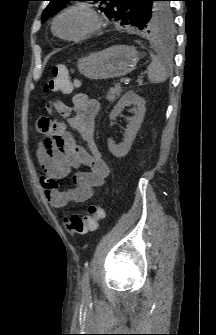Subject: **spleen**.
Instances as JSON below:
<instances>
[{
	"instance_id": "1",
	"label": "spleen",
	"mask_w": 216,
	"mask_h": 335,
	"mask_svg": "<svg viewBox=\"0 0 216 335\" xmlns=\"http://www.w3.org/2000/svg\"><path fill=\"white\" fill-rule=\"evenodd\" d=\"M151 59L152 61L147 68L149 81L153 83L164 82L170 74L171 64L161 52H158L157 55L152 54Z\"/></svg>"
}]
</instances>
